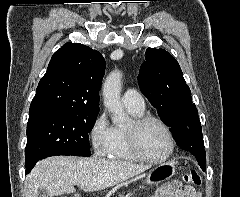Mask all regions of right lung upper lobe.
Here are the masks:
<instances>
[{
    "instance_id": "cb5924a9",
    "label": "right lung upper lobe",
    "mask_w": 240,
    "mask_h": 197,
    "mask_svg": "<svg viewBox=\"0 0 240 197\" xmlns=\"http://www.w3.org/2000/svg\"><path fill=\"white\" fill-rule=\"evenodd\" d=\"M104 70L105 60L100 52L79 43L64 44L53 54L29 113L99 111V87Z\"/></svg>"
}]
</instances>
